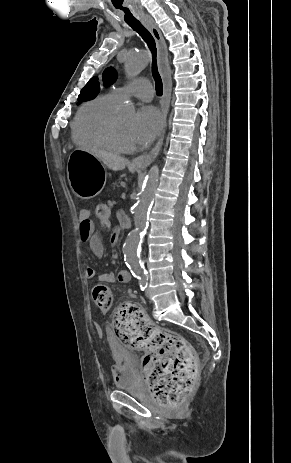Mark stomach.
I'll use <instances>...</instances> for the list:
<instances>
[{"label": "stomach", "mask_w": 291, "mask_h": 463, "mask_svg": "<svg viewBox=\"0 0 291 463\" xmlns=\"http://www.w3.org/2000/svg\"><path fill=\"white\" fill-rule=\"evenodd\" d=\"M100 160L84 150H74L67 162V177L72 191L82 199L95 197L103 185Z\"/></svg>", "instance_id": "obj_1"}]
</instances>
